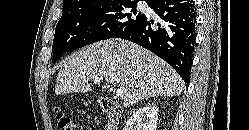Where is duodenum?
I'll use <instances>...</instances> for the list:
<instances>
[{
  "label": "duodenum",
  "mask_w": 249,
  "mask_h": 130,
  "mask_svg": "<svg viewBox=\"0 0 249 130\" xmlns=\"http://www.w3.org/2000/svg\"><path fill=\"white\" fill-rule=\"evenodd\" d=\"M99 105L101 110L107 115L105 130H118L122 116V108L120 105L109 98H101Z\"/></svg>",
  "instance_id": "1"
}]
</instances>
